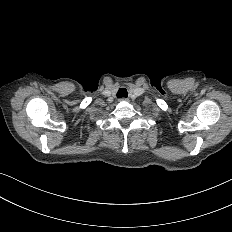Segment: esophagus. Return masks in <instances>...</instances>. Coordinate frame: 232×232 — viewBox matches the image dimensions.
<instances>
[{"mask_svg":"<svg viewBox=\"0 0 232 232\" xmlns=\"http://www.w3.org/2000/svg\"><path fill=\"white\" fill-rule=\"evenodd\" d=\"M120 102H128L129 100L125 97L119 99Z\"/></svg>","mask_w":232,"mask_h":232,"instance_id":"34e87169","label":"esophagus"}]
</instances>
